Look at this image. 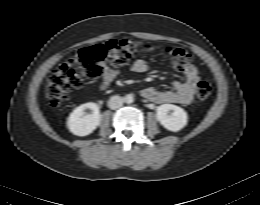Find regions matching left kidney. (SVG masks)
Segmentation results:
<instances>
[{
	"label": "left kidney",
	"instance_id": "5707ae66",
	"mask_svg": "<svg viewBox=\"0 0 260 205\" xmlns=\"http://www.w3.org/2000/svg\"><path fill=\"white\" fill-rule=\"evenodd\" d=\"M172 113L169 114V112ZM157 120L169 131L178 132L188 122V116L184 109L173 104H163L157 107Z\"/></svg>",
	"mask_w": 260,
	"mask_h": 205
}]
</instances>
